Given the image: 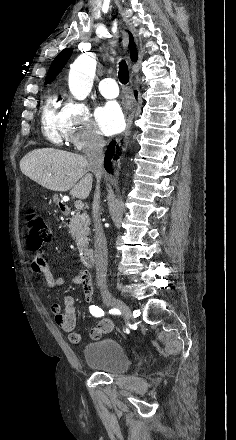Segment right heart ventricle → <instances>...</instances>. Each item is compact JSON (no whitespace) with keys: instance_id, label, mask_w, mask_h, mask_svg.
<instances>
[{"instance_id":"obj_1","label":"right heart ventricle","mask_w":236,"mask_h":440,"mask_svg":"<svg viewBox=\"0 0 236 440\" xmlns=\"http://www.w3.org/2000/svg\"><path fill=\"white\" fill-rule=\"evenodd\" d=\"M41 125L44 136L54 144L65 140L64 119L57 97L50 95L42 108Z\"/></svg>"}]
</instances>
